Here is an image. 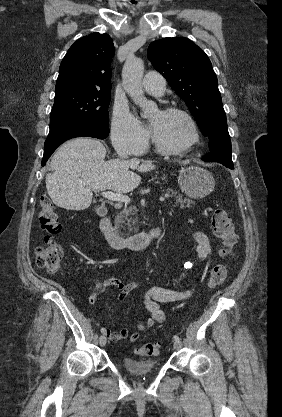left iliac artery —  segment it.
<instances>
[{"label": "left iliac artery", "mask_w": 282, "mask_h": 417, "mask_svg": "<svg viewBox=\"0 0 282 417\" xmlns=\"http://www.w3.org/2000/svg\"><path fill=\"white\" fill-rule=\"evenodd\" d=\"M173 339H174L175 341L180 340L179 336H177V335H174V336H173Z\"/></svg>", "instance_id": "1"}]
</instances>
